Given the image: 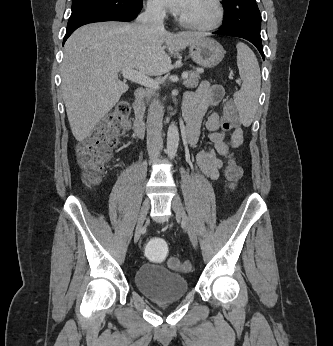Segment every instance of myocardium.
<instances>
[{
  "instance_id": "obj_1",
  "label": "myocardium",
  "mask_w": 333,
  "mask_h": 346,
  "mask_svg": "<svg viewBox=\"0 0 333 346\" xmlns=\"http://www.w3.org/2000/svg\"><path fill=\"white\" fill-rule=\"evenodd\" d=\"M211 3L214 7V16L210 21L206 23H200L180 15L178 18L179 22L185 27L199 31H211L218 28L222 24L224 19V6L222 4V0H211Z\"/></svg>"
}]
</instances>
